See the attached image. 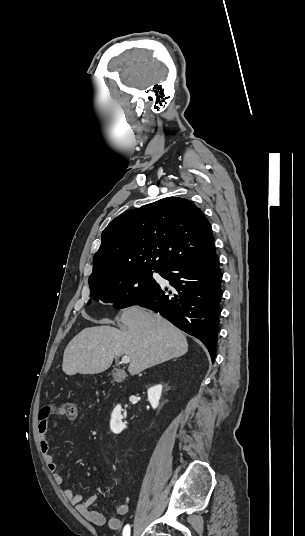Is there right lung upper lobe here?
I'll return each mask as SVG.
<instances>
[{
    "mask_svg": "<svg viewBox=\"0 0 305 536\" xmlns=\"http://www.w3.org/2000/svg\"><path fill=\"white\" fill-rule=\"evenodd\" d=\"M210 223L187 199L167 197L124 212L103 231L89 282L163 271L214 246Z\"/></svg>",
    "mask_w": 305,
    "mask_h": 536,
    "instance_id": "right-lung-upper-lobe-1",
    "label": "right lung upper lobe"
}]
</instances>
